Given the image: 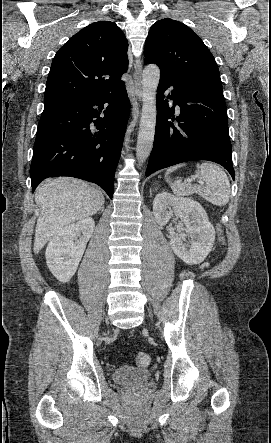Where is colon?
<instances>
[{
  "instance_id": "5ec220e1",
  "label": "colon",
  "mask_w": 271,
  "mask_h": 443,
  "mask_svg": "<svg viewBox=\"0 0 271 443\" xmlns=\"http://www.w3.org/2000/svg\"><path fill=\"white\" fill-rule=\"evenodd\" d=\"M218 232H219V240L221 242H224V235H223V232L220 228L218 229ZM135 361L139 366L145 367V366L149 365V363H150V356L145 352H139L136 355Z\"/></svg>"
}]
</instances>
